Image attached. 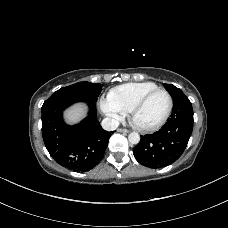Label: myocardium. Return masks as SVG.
<instances>
[{
	"instance_id": "f54148a6",
	"label": "myocardium",
	"mask_w": 228,
	"mask_h": 228,
	"mask_svg": "<svg viewBox=\"0 0 228 228\" xmlns=\"http://www.w3.org/2000/svg\"><path fill=\"white\" fill-rule=\"evenodd\" d=\"M158 92H163L167 95L168 98V106L166 109L165 114L163 115V117L155 124L151 125V126H141L139 124H137L135 122V114L136 112L156 93ZM173 108V98L172 95L170 94V92L164 88H156L154 90L149 91L148 93H146L144 96H142L129 110V117L131 122L133 123V125L139 129L140 131L143 132H152V131H156L158 130L169 118L171 111Z\"/></svg>"
}]
</instances>
